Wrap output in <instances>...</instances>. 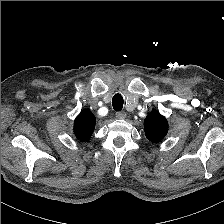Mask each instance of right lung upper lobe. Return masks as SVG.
Masks as SVG:
<instances>
[{"label": "right lung upper lobe", "instance_id": "1", "mask_svg": "<svg viewBox=\"0 0 224 224\" xmlns=\"http://www.w3.org/2000/svg\"><path fill=\"white\" fill-rule=\"evenodd\" d=\"M96 118L89 110H82L76 117L74 122V134L81 141H87L90 139L94 128Z\"/></svg>", "mask_w": 224, "mask_h": 224}]
</instances>
